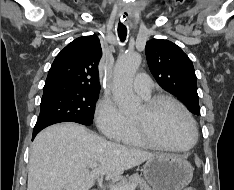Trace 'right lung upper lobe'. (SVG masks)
I'll list each match as a JSON object with an SVG mask.
<instances>
[{
  "label": "right lung upper lobe",
  "instance_id": "right-lung-upper-lobe-1",
  "mask_svg": "<svg viewBox=\"0 0 234 190\" xmlns=\"http://www.w3.org/2000/svg\"><path fill=\"white\" fill-rule=\"evenodd\" d=\"M101 56L102 49L96 35L75 39L56 56L44 87L99 91L98 63Z\"/></svg>",
  "mask_w": 234,
  "mask_h": 190
}]
</instances>
